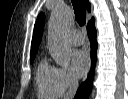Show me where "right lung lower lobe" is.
I'll use <instances>...</instances> for the list:
<instances>
[{"mask_svg": "<svg viewBox=\"0 0 128 99\" xmlns=\"http://www.w3.org/2000/svg\"><path fill=\"white\" fill-rule=\"evenodd\" d=\"M87 31L88 36L90 39L91 44V57H92V71L88 77V79L85 81V83H82L79 87L75 99H88V96L90 94V91L92 89V80H93V74H94V64L96 61V50H97V41H96V29L94 27V18H92L88 25H87Z\"/></svg>", "mask_w": 128, "mask_h": 99, "instance_id": "obj_1", "label": "right lung lower lobe"}]
</instances>
